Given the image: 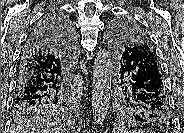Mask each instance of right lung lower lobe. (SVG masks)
<instances>
[{
    "label": "right lung lower lobe",
    "mask_w": 184,
    "mask_h": 133,
    "mask_svg": "<svg viewBox=\"0 0 184 133\" xmlns=\"http://www.w3.org/2000/svg\"><path fill=\"white\" fill-rule=\"evenodd\" d=\"M53 37L60 43L57 48L49 47ZM74 42L72 23L64 14L50 13L39 22L20 55L16 105H38L52 96L67 95V65Z\"/></svg>",
    "instance_id": "right-lung-lower-lobe-1"
}]
</instances>
